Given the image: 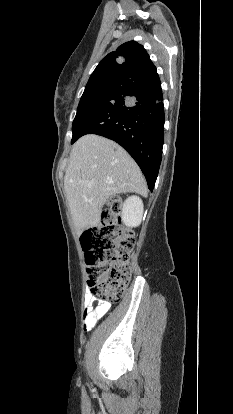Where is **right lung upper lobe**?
<instances>
[{"label":"right lung upper lobe","instance_id":"1","mask_svg":"<svg viewBox=\"0 0 233 414\" xmlns=\"http://www.w3.org/2000/svg\"><path fill=\"white\" fill-rule=\"evenodd\" d=\"M157 74L156 67L142 45L130 41L109 53L96 67L89 81L118 76L128 80H138Z\"/></svg>","mask_w":233,"mask_h":414}]
</instances>
